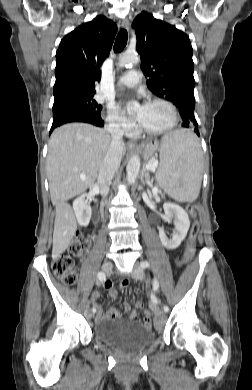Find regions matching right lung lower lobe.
Returning <instances> with one entry per match:
<instances>
[{
	"label": "right lung lower lobe",
	"instance_id": "1",
	"mask_svg": "<svg viewBox=\"0 0 252 390\" xmlns=\"http://www.w3.org/2000/svg\"><path fill=\"white\" fill-rule=\"evenodd\" d=\"M68 122H85L102 127L104 122L101 118H94L79 113H64L53 117V124L50 133L54 128Z\"/></svg>",
	"mask_w": 252,
	"mask_h": 390
}]
</instances>
